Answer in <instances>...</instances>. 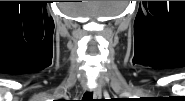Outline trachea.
<instances>
[{"mask_svg": "<svg viewBox=\"0 0 185 101\" xmlns=\"http://www.w3.org/2000/svg\"><path fill=\"white\" fill-rule=\"evenodd\" d=\"M92 96H93L92 93H85L83 99L84 101H91Z\"/></svg>", "mask_w": 185, "mask_h": 101, "instance_id": "trachea-1", "label": "trachea"}]
</instances>
